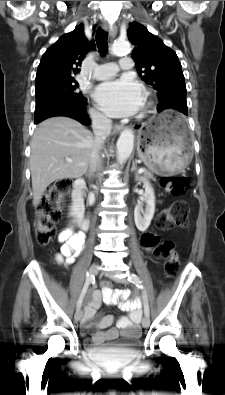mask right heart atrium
I'll return each mask as SVG.
<instances>
[{
    "label": "right heart atrium",
    "mask_w": 225,
    "mask_h": 395,
    "mask_svg": "<svg viewBox=\"0 0 225 395\" xmlns=\"http://www.w3.org/2000/svg\"><path fill=\"white\" fill-rule=\"evenodd\" d=\"M90 114H91L92 118H94L95 120H98V121L105 120V117L95 108H92L90 110Z\"/></svg>",
    "instance_id": "obj_1"
}]
</instances>
